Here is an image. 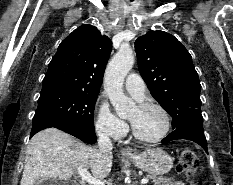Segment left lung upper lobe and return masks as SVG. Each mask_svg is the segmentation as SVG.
Wrapping results in <instances>:
<instances>
[{"mask_svg":"<svg viewBox=\"0 0 233 185\" xmlns=\"http://www.w3.org/2000/svg\"><path fill=\"white\" fill-rule=\"evenodd\" d=\"M139 72L151 95L172 116L173 129L202 120L198 74L186 48L171 34L149 31L135 41Z\"/></svg>","mask_w":233,"mask_h":185,"instance_id":"5c2ea615","label":"left lung upper lobe"}]
</instances>
